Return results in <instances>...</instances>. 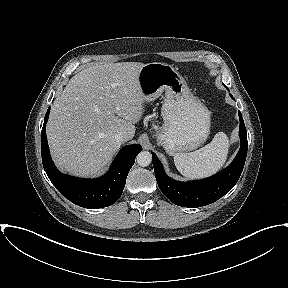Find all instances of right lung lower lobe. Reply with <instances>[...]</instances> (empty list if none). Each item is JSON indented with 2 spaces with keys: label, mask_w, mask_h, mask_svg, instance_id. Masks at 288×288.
Listing matches in <instances>:
<instances>
[{
  "label": "right lung lower lobe",
  "mask_w": 288,
  "mask_h": 288,
  "mask_svg": "<svg viewBox=\"0 0 288 288\" xmlns=\"http://www.w3.org/2000/svg\"><path fill=\"white\" fill-rule=\"evenodd\" d=\"M48 108L41 132V154L44 170L56 189L72 203L90 209L107 207L121 196L129 170L136 155L142 150L139 144L121 149L110 170L97 179H80L60 173L50 157L45 125L49 116Z\"/></svg>",
  "instance_id": "right-lung-lower-lobe-1"
}]
</instances>
